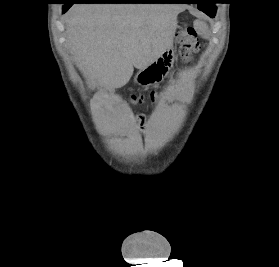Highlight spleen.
<instances>
[{"label":"spleen","instance_id":"spleen-1","mask_svg":"<svg viewBox=\"0 0 279 267\" xmlns=\"http://www.w3.org/2000/svg\"><path fill=\"white\" fill-rule=\"evenodd\" d=\"M201 26H202V31H206L207 30V27H206V25H204V24H201Z\"/></svg>","mask_w":279,"mask_h":267}]
</instances>
